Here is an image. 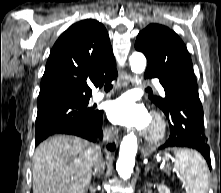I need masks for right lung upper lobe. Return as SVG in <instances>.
Segmentation results:
<instances>
[{"instance_id": "cb5924a9", "label": "right lung upper lobe", "mask_w": 221, "mask_h": 193, "mask_svg": "<svg viewBox=\"0 0 221 193\" xmlns=\"http://www.w3.org/2000/svg\"><path fill=\"white\" fill-rule=\"evenodd\" d=\"M117 73L105 27L87 19L69 27L54 44L41 80L38 103L88 99L93 83L101 87Z\"/></svg>"}]
</instances>
